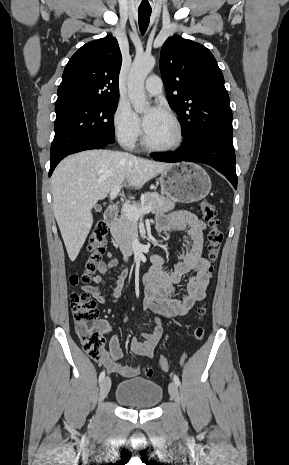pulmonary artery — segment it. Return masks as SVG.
Here are the masks:
<instances>
[{
	"label": "pulmonary artery",
	"instance_id": "pulmonary-artery-1",
	"mask_svg": "<svg viewBox=\"0 0 289 465\" xmlns=\"http://www.w3.org/2000/svg\"><path fill=\"white\" fill-rule=\"evenodd\" d=\"M145 90L150 95H158L162 91V80L157 75H151L145 82Z\"/></svg>",
	"mask_w": 289,
	"mask_h": 465
}]
</instances>
